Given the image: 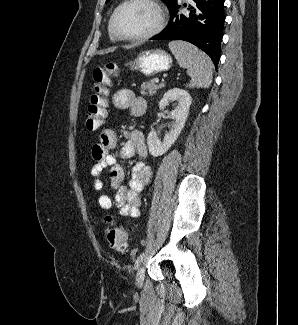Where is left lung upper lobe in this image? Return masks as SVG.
<instances>
[{"instance_id": "5c2ea615", "label": "left lung upper lobe", "mask_w": 298, "mask_h": 325, "mask_svg": "<svg viewBox=\"0 0 298 325\" xmlns=\"http://www.w3.org/2000/svg\"><path fill=\"white\" fill-rule=\"evenodd\" d=\"M110 0H106V3L109 2ZM165 3H167L169 6L175 2V0H163Z\"/></svg>"}]
</instances>
